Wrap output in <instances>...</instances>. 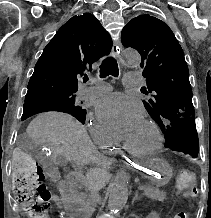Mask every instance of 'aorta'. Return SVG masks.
I'll list each match as a JSON object with an SVG mask.
<instances>
[{
	"label": "aorta",
	"mask_w": 211,
	"mask_h": 218,
	"mask_svg": "<svg viewBox=\"0 0 211 218\" xmlns=\"http://www.w3.org/2000/svg\"><path fill=\"white\" fill-rule=\"evenodd\" d=\"M124 61L136 67L140 64L141 57L135 50H126L123 53ZM128 175L125 171L116 174L113 185L110 190L108 208L111 212L121 210L128 199Z\"/></svg>",
	"instance_id": "762f6f07"
}]
</instances>
